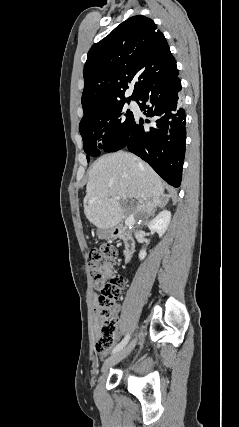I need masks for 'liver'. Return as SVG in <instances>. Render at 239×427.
<instances>
[{"label": "liver", "instance_id": "obj_1", "mask_svg": "<svg viewBox=\"0 0 239 427\" xmlns=\"http://www.w3.org/2000/svg\"><path fill=\"white\" fill-rule=\"evenodd\" d=\"M88 174L84 213L99 229H112L130 214L120 199L138 200L133 215L136 212L150 215L157 206L164 205L162 179L147 163L131 153L106 154L91 165Z\"/></svg>", "mask_w": 239, "mask_h": 427}]
</instances>
